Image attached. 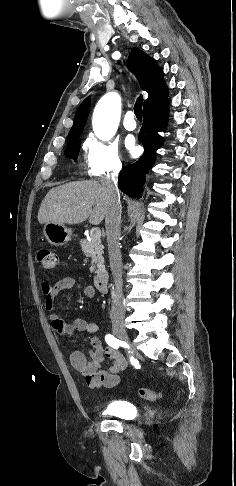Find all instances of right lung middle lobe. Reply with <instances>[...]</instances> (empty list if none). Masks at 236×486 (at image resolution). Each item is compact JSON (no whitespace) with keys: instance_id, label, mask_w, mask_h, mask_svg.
<instances>
[{"instance_id":"1","label":"right lung middle lobe","mask_w":236,"mask_h":486,"mask_svg":"<svg viewBox=\"0 0 236 486\" xmlns=\"http://www.w3.org/2000/svg\"><path fill=\"white\" fill-rule=\"evenodd\" d=\"M80 145L81 141L79 139L68 142L67 149L65 150L66 156L76 160L79 154Z\"/></svg>"}]
</instances>
